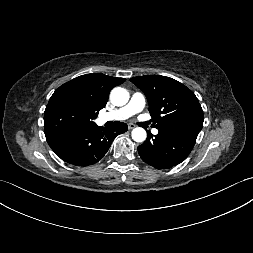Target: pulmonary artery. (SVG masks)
Here are the masks:
<instances>
[{
  "label": "pulmonary artery",
  "instance_id": "pulmonary-artery-1",
  "mask_svg": "<svg viewBox=\"0 0 253 253\" xmlns=\"http://www.w3.org/2000/svg\"><path fill=\"white\" fill-rule=\"evenodd\" d=\"M146 104V100L143 94H141L140 92H135L132 94L129 102L119 108L116 109L113 112H109V113H104L99 117V121L101 123H105L107 121H112V120H125L128 119L129 117L139 113L140 111L143 110V108L145 107ZM153 133L157 134L158 130L157 129H153Z\"/></svg>",
  "mask_w": 253,
  "mask_h": 253
}]
</instances>
